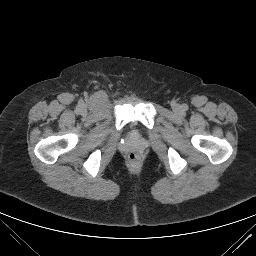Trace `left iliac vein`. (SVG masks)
<instances>
[{
  "mask_svg": "<svg viewBox=\"0 0 256 256\" xmlns=\"http://www.w3.org/2000/svg\"><path fill=\"white\" fill-rule=\"evenodd\" d=\"M173 110H174L175 112H179V111L181 110L180 105L174 103V104H173Z\"/></svg>",
  "mask_w": 256,
  "mask_h": 256,
  "instance_id": "1",
  "label": "left iliac vein"
}]
</instances>
